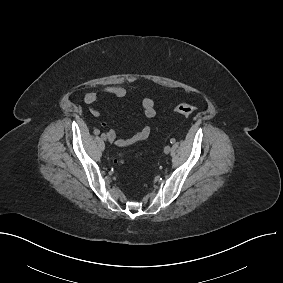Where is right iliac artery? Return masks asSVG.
<instances>
[{
	"label": "right iliac artery",
	"instance_id": "82829eb1",
	"mask_svg": "<svg viewBox=\"0 0 283 283\" xmlns=\"http://www.w3.org/2000/svg\"><path fill=\"white\" fill-rule=\"evenodd\" d=\"M100 131L98 129L95 130V134H99ZM102 135V134H101Z\"/></svg>",
	"mask_w": 283,
	"mask_h": 283
}]
</instances>
